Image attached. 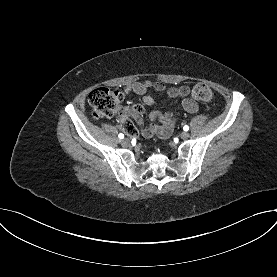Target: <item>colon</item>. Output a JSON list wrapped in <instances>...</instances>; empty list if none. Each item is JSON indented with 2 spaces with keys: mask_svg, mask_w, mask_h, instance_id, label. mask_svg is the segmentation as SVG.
<instances>
[{
  "mask_svg": "<svg viewBox=\"0 0 277 277\" xmlns=\"http://www.w3.org/2000/svg\"><path fill=\"white\" fill-rule=\"evenodd\" d=\"M192 94L201 101H208L212 98L211 89L203 83L194 86ZM122 101V93L105 87L96 88L88 95V103L92 109L93 116L97 119L113 116L119 110ZM131 110L136 114H142L143 112V108L140 105H134ZM123 123L128 133L134 131V126L130 119L125 118Z\"/></svg>",
  "mask_w": 277,
  "mask_h": 277,
  "instance_id": "colon-1",
  "label": "colon"
}]
</instances>
